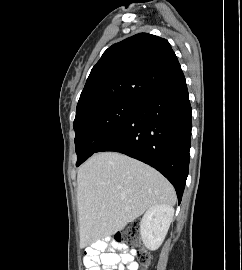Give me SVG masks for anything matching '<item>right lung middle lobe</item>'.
Returning <instances> with one entry per match:
<instances>
[{
  "label": "right lung middle lobe",
  "instance_id": "1",
  "mask_svg": "<svg viewBox=\"0 0 242 270\" xmlns=\"http://www.w3.org/2000/svg\"><path fill=\"white\" fill-rule=\"evenodd\" d=\"M136 101L118 100L76 115L74 120L77 163L84 162L124 122Z\"/></svg>",
  "mask_w": 242,
  "mask_h": 270
}]
</instances>
